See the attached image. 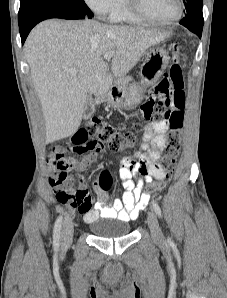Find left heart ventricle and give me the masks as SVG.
Returning a JSON list of instances; mask_svg holds the SVG:
<instances>
[{
	"label": "left heart ventricle",
	"mask_w": 227,
	"mask_h": 298,
	"mask_svg": "<svg viewBox=\"0 0 227 298\" xmlns=\"http://www.w3.org/2000/svg\"><path fill=\"white\" fill-rule=\"evenodd\" d=\"M144 11L157 20H168L177 12L175 0H141Z\"/></svg>",
	"instance_id": "obj_1"
}]
</instances>
